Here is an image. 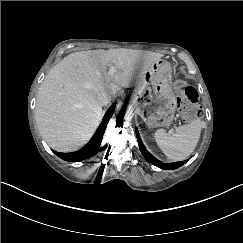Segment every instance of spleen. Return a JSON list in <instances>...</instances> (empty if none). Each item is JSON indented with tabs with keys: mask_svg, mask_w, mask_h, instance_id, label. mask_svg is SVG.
<instances>
[{
	"mask_svg": "<svg viewBox=\"0 0 243 243\" xmlns=\"http://www.w3.org/2000/svg\"><path fill=\"white\" fill-rule=\"evenodd\" d=\"M201 121L196 119L189 124L174 128V133L157 129L154 138L160 149L173 160L186 159L195 149L200 133Z\"/></svg>",
	"mask_w": 243,
	"mask_h": 243,
	"instance_id": "obj_1",
	"label": "spleen"
}]
</instances>
